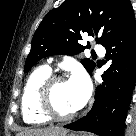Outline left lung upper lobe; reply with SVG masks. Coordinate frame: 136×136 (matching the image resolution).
<instances>
[{"label":"left lung upper lobe","instance_id":"obj_1","mask_svg":"<svg viewBox=\"0 0 136 136\" xmlns=\"http://www.w3.org/2000/svg\"><path fill=\"white\" fill-rule=\"evenodd\" d=\"M131 8L129 0H65L51 10L37 28L24 72L43 57L82 52L85 47L78 41L82 40L83 33L99 36L96 42L103 45L120 27ZM82 64L91 74L94 61L86 59Z\"/></svg>","mask_w":136,"mask_h":136}]
</instances>
